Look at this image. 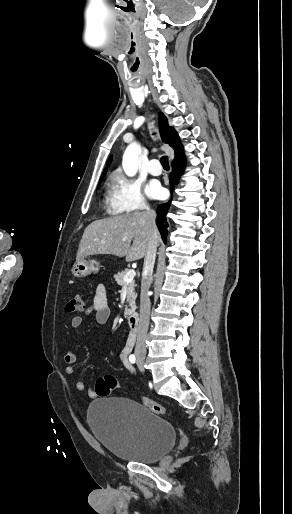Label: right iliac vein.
I'll list each match as a JSON object with an SVG mask.
<instances>
[{
  "label": "right iliac vein",
  "instance_id": "obj_1",
  "mask_svg": "<svg viewBox=\"0 0 292 514\" xmlns=\"http://www.w3.org/2000/svg\"><path fill=\"white\" fill-rule=\"evenodd\" d=\"M138 362H140L141 364H144V357H139Z\"/></svg>",
  "mask_w": 292,
  "mask_h": 514
}]
</instances>
